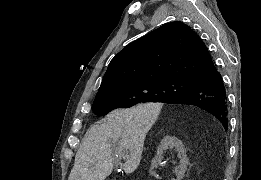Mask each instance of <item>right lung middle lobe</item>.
I'll use <instances>...</instances> for the list:
<instances>
[{
	"label": "right lung middle lobe",
	"mask_w": 261,
	"mask_h": 180,
	"mask_svg": "<svg viewBox=\"0 0 261 180\" xmlns=\"http://www.w3.org/2000/svg\"><path fill=\"white\" fill-rule=\"evenodd\" d=\"M195 85V82L185 80H162L128 86L96 97L92 111L103 116L114 109L129 108L142 102L166 103L171 98L190 91Z\"/></svg>",
	"instance_id": "dd1d6c3e"
}]
</instances>
